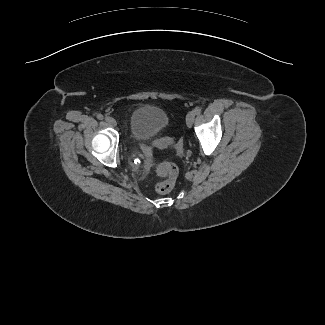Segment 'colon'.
<instances>
[{
	"label": "colon",
	"mask_w": 325,
	"mask_h": 325,
	"mask_svg": "<svg viewBox=\"0 0 325 325\" xmlns=\"http://www.w3.org/2000/svg\"><path fill=\"white\" fill-rule=\"evenodd\" d=\"M172 140L170 138H164L155 143L158 148H165L172 144ZM157 175L162 177L163 180L157 182L154 186L155 191L164 194L170 192L175 186L177 177H178V168L175 164L167 162L161 164L157 170Z\"/></svg>",
	"instance_id": "5ec220e1"
}]
</instances>
